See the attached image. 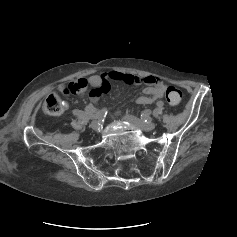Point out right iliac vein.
<instances>
[{"label":"right iliac vein","instance_id":"right-iliac-vein-1","mask_svg":"<svg viewBox=\"0 0 237 237\" xmlns=\"http://www.w3.org/2000/svg\"><path fill=\"white\" fill-rule=\"evenodd\" d=\"M90 128L97 131L100 128V123L97 120H94L90 123Z\"/></svg>","mask_w":237,"mask_h":237}]
</instances>
